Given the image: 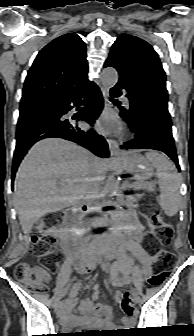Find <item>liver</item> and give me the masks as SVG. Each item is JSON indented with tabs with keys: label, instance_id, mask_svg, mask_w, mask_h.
Instances as JSON below:
<instances>
[{
	"label": "liver",
	"instance_id": "liver-1",
	"mask_svg": "<svg viewBox=\"0 0 194 336\" xmlns=\"http://www.w3.org/2000/svg\"><path fill=\"white\" fill-rule=\"evenodd\" d=\"M111 162L85 148L59 139L37 142L20 164L15 179V206L25 235L44 215L84 198L96 172L104 177Z\"/></svg>",
	"mask_w": 194,
	"mask_h": 336
}]
</instances>
